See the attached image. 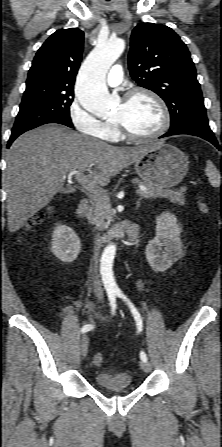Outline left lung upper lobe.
Listing matches in <instances>:
<instances>
[{"instance_id": "left-lung-upper-lobe-1", "label": "left lung upper lobe", "mask_w": 222, "mask_h": 447, "mask_svg": "<svg viewBox=\"0 0 222 447\" xmlns=\"http://www.w3.org/2000/svg\"><path fill=\"white\" fill-rule=\"evenodd\" d=\"M128 65L132 78L167 104L170 128L193 126L212 132L196 70L180 37L161 24L142 23L131 35Z\"/></svg>"}]
</instances>
